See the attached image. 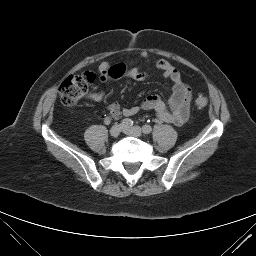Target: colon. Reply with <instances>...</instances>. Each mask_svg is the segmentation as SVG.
Here are the masks:
<instances>
[{
	"instance_id": "colon-1",
	"label": "colon",
	"mask_w": 256,
	"mask_h": 256,
	"mask_svg": "<svg viewBox=\"0 0 256 256\" xmlns=\"http://www.w3.org/2000/svg\"><path fill=\"white\" fill-rule=\"evenodd\" d=\"M95 80V75L89 72L67 77L59 87V93L62 102L67 106L77 104L89 90V86ZM208 100L205 97H198L195 105L198 109L207 106Z\"/></svg>"
}]
</instances>
